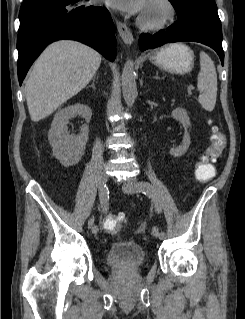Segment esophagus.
<instances>
[{
    "label": "esophagus",
    "mask_w": 245,
    "mask_h": 319,
    "mask_svg": "<svg viewBox=\"0 0 245 319\" xmlns=\"http://www.w3.org/2000/svg\"><path fill=\"white\" fill-rule=\"evenodd\" d=\"M116 26L118 33L125 44L130 45L134 41L133 34L131 30L128 28V26L118 20H116Z\"/></svg>",
    "instance_id": "obj_1"
}]
</instances>
